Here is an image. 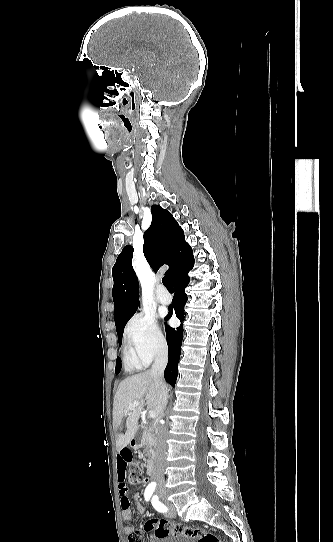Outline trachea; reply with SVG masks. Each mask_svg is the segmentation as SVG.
<instances>
[{
    "label": "trachea",
    "mask_w": 333,
    "mask_h": 542,
    "mask_svg": "<svg viewBox=\"0 0 333 542\" xmlns=\"http://www.w3.org/2000/svg\"><path fill=\"white\" fill-rule=\"evenodd\" d=\"M162 282L165 285V287H167V289H173L171 279L168 275H165V277H163Z\"/></svg>",
    "instance_id": "1"
}]
</instances>
